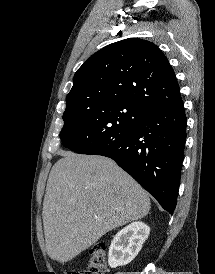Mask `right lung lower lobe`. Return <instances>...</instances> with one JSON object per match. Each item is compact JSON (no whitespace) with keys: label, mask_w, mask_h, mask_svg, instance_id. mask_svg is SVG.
<instances>
[{"label":"right lung lower lobe","mask_w":215,"mask_h":274,"mask_svg":"<svg viewBox=\"0 0 215 274\" xmlns=\"http://www.w3.org/2000/svg\"><path fill=\"white\" fill-rule=\"evenodd\" d=\"M185 142L186 115L181 101L146 111L129 133L87 154L113 159L172 214Z\"/></svg>","instance_id":"obj_1"}]
</instances>
